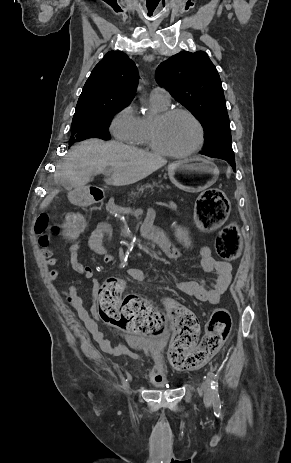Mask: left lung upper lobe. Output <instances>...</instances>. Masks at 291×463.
I'll use <instances>...</instances> for the list:
<instances>
[{"label": "left lung upper lobe", "instance_id": "5c2ea615", "mask_svg": "<svg viewBox=\"0 0 291 463\" xmlns=\"http://www.w3.org/2000/svg\"><path fill=\"white\" fill-rule=\"evenodd\" d=\"M156 80L204 127L206 141L201 154L234 158L221 80L208 55L204 51L179 52L158 66Z\"/></svg>", "mask_w": 291, "mask_h": 463}]
</instances>
